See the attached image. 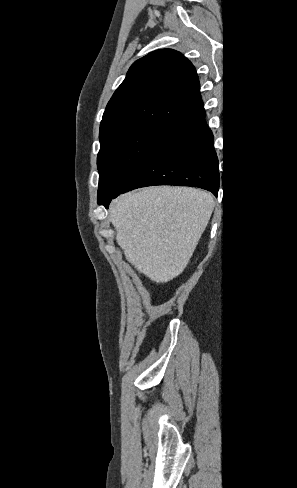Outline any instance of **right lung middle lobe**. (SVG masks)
Wrapping results in <instances>:
<instances>
[{"label": "right lung middle lobe", "mask_w": 297, "mask_h": 488, "mask_svg": "<svg viewBox=\"0 0 297 488\" xmlns=\"http://www.w3.org/2000/svg\"><path fill=\"white\" fill-rule=\"evenodd\" d=\"M170 132L163 128H135L100 142L98 204L118 195Z\"/></svg>", "instance_id": "right-lung-middle-lobe-1"}]
</instances>
